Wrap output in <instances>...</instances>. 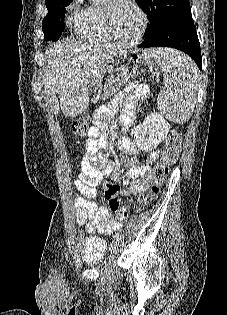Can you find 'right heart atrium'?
<instances>
[{
    "instance_id": "obj_1",
    "label": "right heart atrium",
    "mask_w": 227,
    "mask_h": 315,
    "mask_svg": "<svg viewBox=\"0 0 227 315\" xmlns=\"http://www.w3.org/2000/svg\"><path fill=\"white\" fill-rule=\"evenodd\" d=\"M80 0H74L71 5H75L76 3H78Z\"/></svg>"
}]
</instances>
